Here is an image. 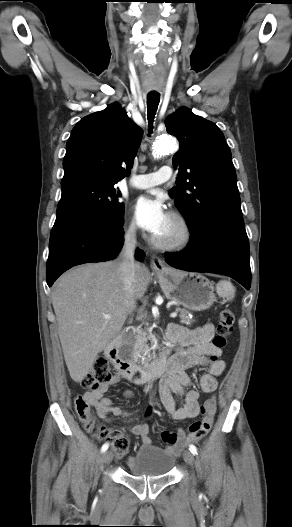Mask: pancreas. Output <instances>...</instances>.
Segmentation results:
<instances>
[{
    "mask_svg": "<svg viewBox=\"0 0 292 527\" xmlns=\"http://www.w3.org/2000/svg\"><path fill=\"white\" fill-rule=\"evenodd\" d=\"M176 312L180 313V323L190 325L194 320L190 317V312L183 308H176ZM151 328H147V332H150ZM146 331H143L141 329L135 328L133 332L130 334L129 340L130 342L137 347L142 346L147 339H151L152 337L147 334Z\"/></svg>",
    "mask_w": 292,
    "mask_h": 527,
    "instance_id": "1",
    "label": "pancreas"
}]
</instances>
